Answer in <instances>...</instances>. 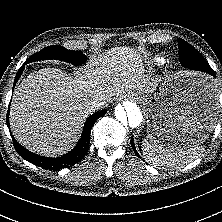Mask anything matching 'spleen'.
<instances>
[{
  "mask_svg": "<svg viewBox=\"0 0 222 222\" xmlns=\"http://www.w3.org/2000/svg\"><path fill=\"white\" fill-rule=\"evenodd\" d=\"M203 150L202 146L174 148L148 139L142 142L144 159L155 167L183 166L198 158Z\"/></svg>",
  "mask_w": 222,
  "mask_h": 222,
  "instance_id": "spleen-1",
  "label": "spleen"
}]
</instances>
